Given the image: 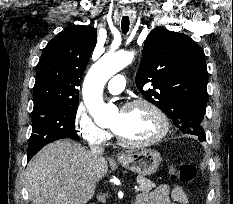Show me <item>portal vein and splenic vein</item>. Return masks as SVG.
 <instances>
[{
  "label": "portal vein and splenic vein",
  "mask_w": 233,
  "mask_h": 204,
  "mask_svg": "<svg viewBox=\"0 0 233 204\" xmlns=\"http://www.w3.org/2000/svg\"><path fill=\"white\" fill-rule=\"evenodd\" d=\"M139 191V188L138 187H135V192H138Z\"/></svg>",
  "instance_id": "1"
}]
</instances>
